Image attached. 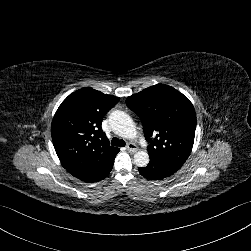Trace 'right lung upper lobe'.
I'll return each instance as SVG.
<instances>
[{"label": "right lung upper lobe", "mask_w": 251, "mask_h": 251, "mask_svg": "<svg viewBox=\"0 0 251 251\" xmlns=\"http://www.w3.org/2000/svg\"><path fill=\"white\" fill-rule=\"evenodd\" d=\"M120 98L92 88L70 94L59 106L51 134L64 168L85 182H97L111 171L118 148L111 147L101 129L105 114Z\"/></svg>", "instance_id": "obj_1"}]
</instances>
